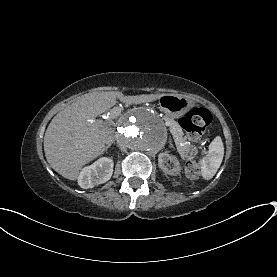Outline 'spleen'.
<instances>
[{
  "label": "spleen",
  "instance_id": "obj_1",
  "mask_svg": "<svg viewBox=\"0 0 277 277\" xmlns=\"http://www.w3.org/2000/svg\"><path fill=\"white\" fill-rule=\"evenodd\" d=\"M224 156V146L220 136L214 138L209 145V151L201 161V174L205 180L213 178L221 165Z\"/></svg>",
  "mask_w": 277,
  "mask_h": 277
}]
</instances>
